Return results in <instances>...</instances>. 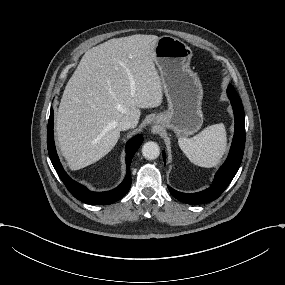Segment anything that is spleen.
Listing matches in <instances>:
<instances>
[{
	"label": "spleen",
	"mask_w": 285,
	"mask_h": 285,
	"mask_svg": "<svg viewBox=\"0 0 285 285\" xmlns=\"http://www.w3.org/2000/svg\"><path fill=\"white\" fill-rule=\"evenodd\" d=\"M178 143L194 164L213 167L226 151V136L222 124H211L192 137L181 136Z\"/></svg>",
	"instance_id": "spleen-1"
}]
</instances>
